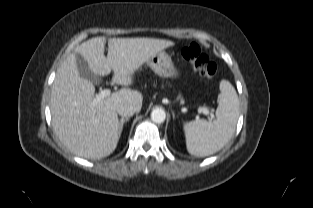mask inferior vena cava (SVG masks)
<instances>
[{
  "label": "inferior vena cava",
  "instance_id": "1",
  "mask_svg": "<svg viewBox=\"0 0 313 208\" xmlns=\"http://www.w3.org/2000/svg\"><path fill=\"white\" fill-rule=\"evenodd\" d=\"M116 111L122 117H130L134 115L137 109L132 104L121 103L116 107Z\"/></svg>",
  "mask_w": 313,
  "mask_h": 208
}]
</instances>
